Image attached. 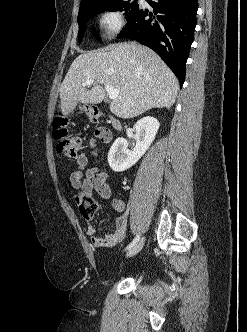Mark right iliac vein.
I'll return each instance as SVG.
<instances>
[{
  "label": "right iliac vein",
  "mask_w": 247,
  "mask_h": 332,
  "mask_svg": "<svg viewBox=\"0 0 247 332\" xmlns=\"http://www.w3.org/2000/svg\"><path fill=\"white\" fill-rule=\"evenodd\" d=\"M144 245V238H142L135 246L129 249V251L126 254V257H133L136 255L143 247Z\"/></svg>",
  "instance_id": "63e3f726"
}]
</instances>
